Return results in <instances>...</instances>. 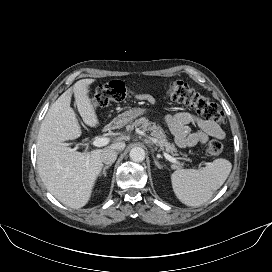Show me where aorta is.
Wrapping results in <instances>:
<instances>
[{"instance_id":"obj_1","label":"aorta","mask_w":272,"mask_h":272,"mask_svg":"<svg viewBox=\"0 0 272 272\" xmlns=\"http://www.w3.org/2000/svg\"><path fill=\"white\" fill-rule=\"evenodd\" d=\"M129 156L134 162H142L145 159V151L141 147H134L131 149Z\"/></svg>"}]
</instances>
